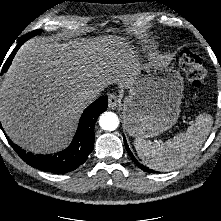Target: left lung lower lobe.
Instances as JSON below:
<instances>
[{
    "label": "left lung lower lobe",
    "instance_id": "left-lung-lower-lobe-1",
    "mask_svg": "<svg viewBox=\"0 0 221 221\" xmlns=\"http://www.w3.org/2000/svg\"><path fill=\"white\" fill-rule=\"evenodd\" d=\"M124 143H125V148H126L127 152L130 154V156H131L133 162H134L135 164H137V166H139L142 170H144V171H150L147 167H144L143 165H140V164L135 160V158L133 157V155H132L130 149L128 148V145H127V142H126V140H125V137H124Z\"/></svg>",
    "mask_w": 221,
    "mask_h": 221
}]
</instances>
